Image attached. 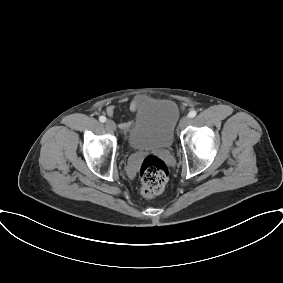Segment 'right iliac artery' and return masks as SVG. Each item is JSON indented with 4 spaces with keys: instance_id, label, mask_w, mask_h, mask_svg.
I'll return each mask as SVG.
<instances>
[{
    "instance_id": "right-iliac-artery-1",
    "label": "right iliac artery",
    "mask_w": 283,
    "mask_h": 283,
    "mask_svg": "<svg viewBox=\"0 0 283 283\" xmlns=\"http://www.w3.org/2000/svg\"><path fill=\"white\" fill-rule=\"evenodd\" d=\"M99 120H100V122L104 123L106 121V117L105 116H100Z\"/></svg>"
}]
</instances>
